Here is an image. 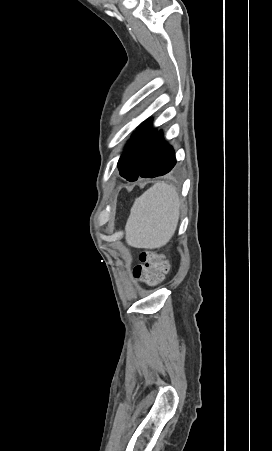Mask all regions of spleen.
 I'll return each instance as SVG.
<instances>
[{"label":"spleen","instance_id":"1","mask_svg":"<svg viewBox=\"0 0 272 451\" xmlns=\"http://www.w3.org/2000/svg\"><path fill=\"white\" fill-rule=\"evenodd\" d=\"M180 204L174 186L157 182L136 198L125 226L126 241L132 247L155 249L165 245L178 224Z\"/></svg>","mask_w":272,"mask_h":451}]
</instances>
